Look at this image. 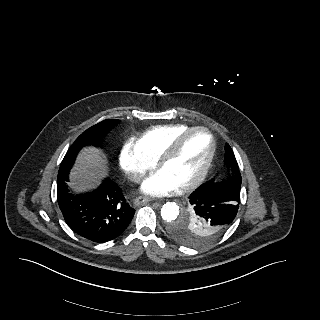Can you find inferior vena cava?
Instances as JSON below:
<instances>
[{
	"label": "inferior vena cava",
	"mask_w": 320,
	"mask_h": 320,
	"mask_svg": "<svg viewBox=\"0 0 320 320\" xmlns=\"http://www.w3.org/2000/svg\"><path fill=\"white\" fill-rule=\"evenodd\" d=\"M141 178H142V175L139 174V173H134V174H131V175H130V179H131L132 181H135V182L140 181Z\"/></svg>",
	"instance_id": "1"
}]
</instances>
